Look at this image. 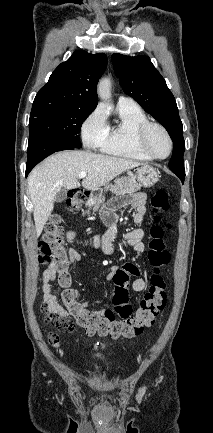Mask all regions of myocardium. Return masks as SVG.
<instances>
[{
  "instance_id": "myocardium-1",
  "label": "myocardium",
  "mask_w": 213,
  "mask_h": 433,
  "mask_svg": "<svg viewBox=\"0 0 213 433\" xmlns=\"http://www.w3.org/2000/svg\"><path fill=\"white\" fill-rule=\"evenodd\" d=\"M152 129H159L166 136V138L169 142V152L167 153V155L159 156L156 153H154L152 151V149L150 148V146L148 144V135ZM136 142H137L139 149L143 153H145L146 155H148L149 157H151L153 159H158V160H163V159L168 158L172 154L173 148H174L173 138H172L171 134L169 133V131L166 129V127L163 126L162 124L158 123V122H152V121H147L138 127V129L136 131Z\"/></svg>"
}]
</instances>
